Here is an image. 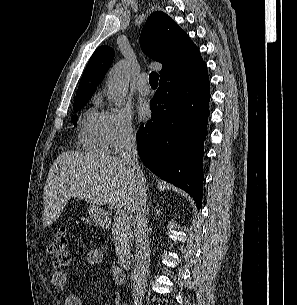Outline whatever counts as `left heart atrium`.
Here are the masks:
<instances>
[{"instance_id":"left-heart-atrium-1","label":"left heart atrium","mask_w":297,"mask_h":305,"mask_svg":"<svg viewBox=\"0 0 297 305\" xmlns=\"http://www.w3.org/2000/svg\"><path fill=\"white\" fill-rule=\"evenodd\" d=\"M137 114L140 120H145L149 115V107L146 103H140L137 107Z\"/></svg>"}]
</instances>
